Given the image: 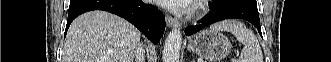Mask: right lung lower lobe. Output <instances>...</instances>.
Returning a JSON list of instances; mask_svg holds the SVG:
<instances>
[{
  "label": "right lung lower lobe",
  "mask_w": 331,
  "mask_h": 62,
  "mask_svg": "<svg viewBox=\"0 0 331 62\" xmlns=\"http://www.w3.org/2000/svg\"><path fill=\"white\" fill-rule=\"evenodd\" d=\"M92 10L108 11L128 20L154 44L159 42L165 29L164 15L142 0H71L65 35L77 16Z\"/></svg>",
  "instance_id": "98d812e1"
}]
</instances>
